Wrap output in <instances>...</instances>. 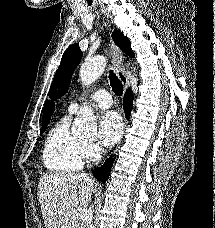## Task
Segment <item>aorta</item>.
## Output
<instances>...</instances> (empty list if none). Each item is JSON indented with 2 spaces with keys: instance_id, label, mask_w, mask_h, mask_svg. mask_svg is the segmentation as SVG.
<instances>
[{
  "instance_id": "obj_1",
  "label": "aorta",
  "mask_w": 215,
  "mask_h": 228,
  "mask_svg": "<svg viewBox=\"0 0 215 228\" xmlns=\"http://www.w3.org/2000/svg\"><path fill=\"white\" fill-rule=\"evenodd\" d=\"M106 62L105 58H93V60H84L80 68V78L85 84H92L99 76H101ZM97 128L95 124V116L90 108H80L74 124L72 126V132L74 134H84V136H93Z\"/></svg>"
}]
</instances>
